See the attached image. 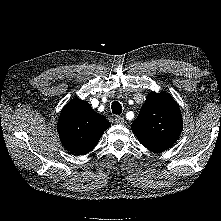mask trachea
<instances>
[{
  "label": "trachea",
  "mask_w": 221,
  "mask_h": 221,
  "mask_svg": "<svg viewBox=\"0 0 221 221\" xmlns=\"http://www.w3.org/2000/svg\"><path fill=\"white\" fill-rule=\"evenodd\" d=\"M111 109H112L113 114L119 115L122 113V105L117 101H114L112 103Z\"/></svg>",
  "instance_id": "trachea-1"
}]
</instances>
